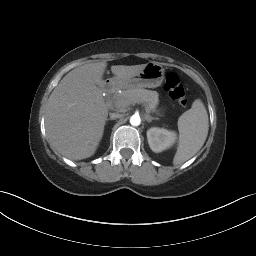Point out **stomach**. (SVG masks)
<instances>
[{
    "mask_svg": "<svg viewBox=\"0 0 256 256\" xmlns=\"http://www.w3.org/2000/svg\"><path fill=\"white\" fill-rule=\"evenodd\" d=\"M164 71L160 63L149 62L139 74L123 82H119L114 77L113 82L122 88H157L164 80Z\"/></svg>",
    "mask_w": 256,
    "mask_h": 256,
    "instance_id": "0dacf381",
    "label": "stomach"
}]
</instances>
